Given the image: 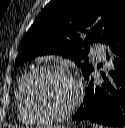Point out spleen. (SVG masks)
Wrapping results in <instances>:
<instances>
[{"label": "spleen", "instance_id": "obj_1", "mask_svg": "<svg viewBox=\"0 0 125 128\" xmlns=\"http://www.w3.org/2000/svg\"><path fill=\"white\" fill-rule=\"evenodd\" d=\"M93 128H102V127L98 125H93Z\"/></svg>", "mask_w": 125, "mask_h": 128}]
</instances>
